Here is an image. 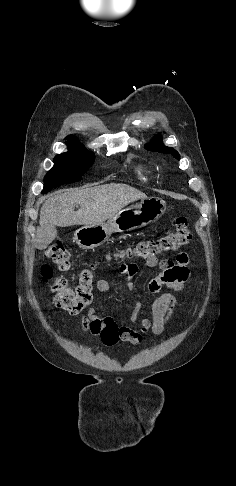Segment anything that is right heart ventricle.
Wrapping results in <instances>:
<instances>
[{"label": "right heart ventricle", "instance_id": "1", "mask_svg": "<svg viewBox=\"0 0 236 486\" xmlns=\"http://www.w3.org/2000/svg\"><path fill=\"white\" fill-rule=\"evenodd\" d=\"M151 173V170L147 167H140L138 170V174L143 180H147Z\"/></svg>", "mask_w": 236, "mask_h": 486}]
</instances>
